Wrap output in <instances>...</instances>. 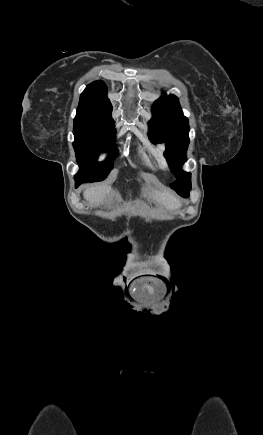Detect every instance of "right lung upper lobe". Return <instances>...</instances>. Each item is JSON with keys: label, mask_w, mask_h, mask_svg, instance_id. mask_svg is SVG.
I'll return each mask as SVG.
<instances>
[{"label": "right lung upper lobe", "mask_w": 263, "mask_h": 435, "mask_svg": "<svg viewBox=\"0 0 263 435\" xmlns=\"http://www.w3.org/2000/svg\"><path fill=\"white\" fill-rule=\"evenodd\" d=\"M106 94L107 87L103 81L89 84L80 96L74 121L113 128L112 105Z\"/></svg>", "instance_id": "right-lung-upper-lobe-1"}]
</instances>
